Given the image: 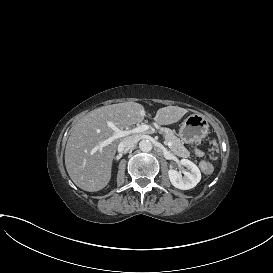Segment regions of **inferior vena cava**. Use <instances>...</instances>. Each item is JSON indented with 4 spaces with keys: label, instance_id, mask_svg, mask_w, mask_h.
I'll list each match as a JSON object with an SVG mask.
<instances>
[{
    "label": "inferior vena cava",
    "instance_id": "1",
    "mask_svg": "<svg viewBox=\"0 0 273 273\" xmlns=\"http://www.w3.org/2000/svg\"><path fill=\"white\" fill-rule=\"evenodd\" d=\"M139 141L138 137L135 135L128 136L123 139V141L120 143V146L123 148H131L137 144Z\"/></svg>",
    "mask_w": 273,
    "mask_h": 273
}]
</instances>
